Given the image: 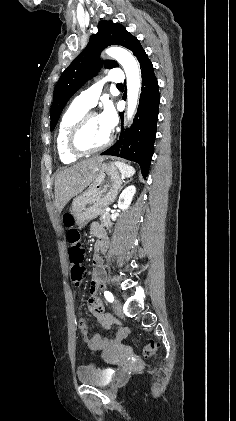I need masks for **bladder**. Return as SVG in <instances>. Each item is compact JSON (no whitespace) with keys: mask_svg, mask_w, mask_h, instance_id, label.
Instances as JSON below:
<instances>
[{"mask_svg":"<svg viewBox=\"0 0 236 421\" xmlns=\"http://www.w3.org/2000/svg\"><path fill=\"white\" fill-rule=\"evenodd\" d=\"M77 381L93 386L107 385L104 373L100 371L94 364H86L77 371Z\"/></svg>","mask_w":236,"mask_h":421,"instance_id":"31cf9c89","label":"bladder"}]
</instances>
